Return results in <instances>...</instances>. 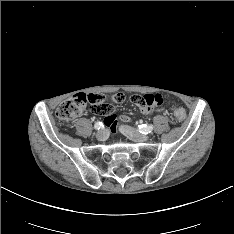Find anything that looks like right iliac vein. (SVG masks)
Masks as SVG:
<instances>
[{
  "label": "right iliac vein",
  "mask_w": 234,
  "mask_h": 234,
  "mask_svg": "<svg viewBox=\"0 0 234 234\" xmlns=\"http://www.w3.org/2000/svg\"><path fill=\"white\" fill-rule=\"evenodd\" d=\"M108 137V131L106 129H101L96 133V138L100 141L106 140Z\"/></svg>",
  "instance_id": "1"
}]
</instances>
